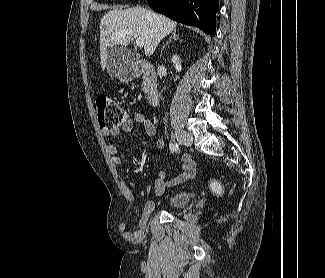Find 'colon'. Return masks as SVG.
<instances>
[{"mask_svg":"<svg viewBox=\"0 0 325 278\" xmlns=\"http://www.w3.org/2000/svg\"><path fill=\"white\" fill-rule=\"evenodd\" d=\"M97 118L102 130H113L120 127L127 120L125 109L107 96H99L96 99ZM213 191L219 193L222 183L214 179L211 181Z\"/></svg>","mask_w":325,"mask_h":278,"instance_id":"5ec220e1","label":"colon"}]
</instances>
